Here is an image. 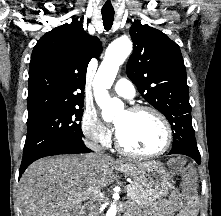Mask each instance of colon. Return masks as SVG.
I'll use <instances>...</instances> for the list:
<instances>
[{
    "label": "colon",
    "mask_w": 221,
    "mask_h": 216,
    "mask_svg": "<svg viewBox=\"0 0 221 216\" xmlns=\"http://www.w3.org/2000/svg\"><path fill=\"white\" fill-rule=\"evenodd\" d=\"M185 160L183 158H175L170 161L171 168L176 172H181L184 180L180 187V192L185 196L188 203L195 200V183L192 173L184 170Z\"/></svg>",
    "instance_id": "5ec220e1"
}]
</instances>
